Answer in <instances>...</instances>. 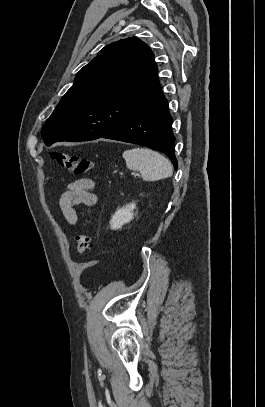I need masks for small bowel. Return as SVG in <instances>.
Listing matches in <instances>:
<instances>
[{
  "label": "small bowel",
  "mask_w": 265,
  "mask_h": 407,
  "mask_svg": "<svg viewBox=\"0 0 265 407\" xmlns=\"http://www.w3.org/2000/svg\"><path fill=\"white\" fill-rule=\"evenodd\" d=\"M94 182L88 178H79L71 182L62 193L59 206L66 221L71 225L78 222L75 206L86 205L92 207L96 204V195L92 192Z\"/></svg>",
  "instance_id": "small-bowel-1"
}]
</instances>
